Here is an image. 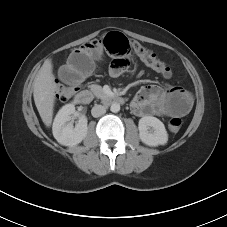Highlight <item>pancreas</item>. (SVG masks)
<instances>
[{
	"label": "pancreas",
	"instance_id": "cf45deb5",
	"mask_svg": "<svg viewBox=\"0 0 227 227\" xmlns=\"http://www.w3.org/2000/svg\"><path fill=\"white\" fill-rule=\"evenodd\" d=\"M90 88H91V91L93 92V94H94L96 97L101 98V99H103V98L106 97V95H105V93L103 92L101 86H99V85H91Z\"/></svg>",
	"mask_w": 227,
	"mask_h": 227
}]
</instances>
